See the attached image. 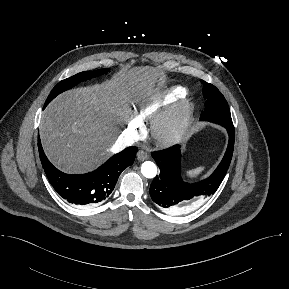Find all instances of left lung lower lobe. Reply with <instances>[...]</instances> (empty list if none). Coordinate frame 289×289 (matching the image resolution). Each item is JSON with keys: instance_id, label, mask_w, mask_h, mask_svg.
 Listing matches in <instances>:
<instances>
[{"instance_id": "left-lung-lower-lobe-1", "label": "left lung lower lobe", "mask_w": 289, "mask_h": 289, "mask_svg": "<svg viewBox=\"0 0 289 289\" xmlns=\"http://www.w3.org/2000/svg\"><path fill=\"white\" fill-rule=\"evenodd\" d=\"M224 127L229 134L225 155L215 171L202 181L192 184L183 181L180 145L151 154L160 168V174L152 181L149 193L160 209L170 214L189 212L217 191L228 170L234 149V127Z\"/></svg>"}]
</instances>
